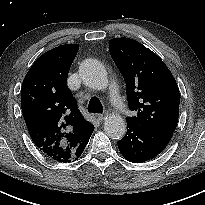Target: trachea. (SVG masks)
Returning a JSON list of instances; mask_svg holds the SVG:
<instances>
[{
	"label": "trachea",
	"instance_id": "obj_1",
	"mask_svg": "<svg viewBox=\"0 0 205 205\" xmlns=\"http://www.w3.org/2000/svg\"><path fill=\"white\" fill-rule=\"evenodd\" d=\"M88 111L92 113H102L103 112V106L100 102V100L96 97H92L88 104Z\"/></svg>",
	"mask_w": 205,
	"mask_h": 205
}]
</instances>
